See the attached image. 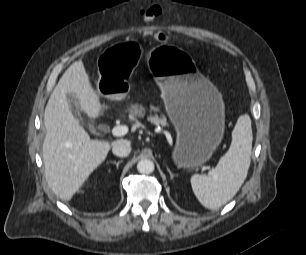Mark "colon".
Masks as SVG:
<instances>
[{
    "mask_svg": "<svg viewBox=\"0 0 306 255\" xmlns=\"http://www.w3.org/2000/svg\"><path fill=\"white\" fill-rule=\"evenodd\" d=\"M161 13H162V9L158 5H152L150 7H147L145 9H143L142 12H141L143 18L147 21H153L154 19L159 17L161 15ZM148 35H154L160 40H162L164 38L163 35L160 32L150 31V32H148Z\"/></svg>",
    "mask_w": 306,
    "mask_h": 255,
    "instance_id": "5ec220e1",
    "label": "colon"
}]
</instances>
